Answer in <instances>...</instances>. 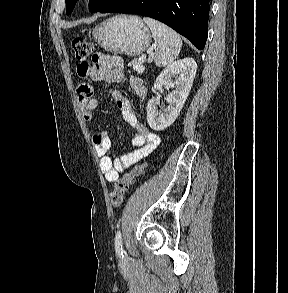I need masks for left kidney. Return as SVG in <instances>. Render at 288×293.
<instances>
[{
	"mask_svg": "<svg viewBox=\"0 0 288 293\" xmlns=\"http://www.w3.org/2000/svg\"><path fill=\"white\" fill-rule=\"evenodd\" d=\"M196 70L197 64L194 59L185 58L170 64L157 77L154 91L162 92L164 86H171L174 90L168 92V106L162 113L157 109L158 99L148 101L147 122L153 130H164L176 120L189 95Z\"/></svg>",
	"mask_w": 288,
	"mask_h": 293,
	"instance_id": "obj_1",
	"label": "left kidney"
}]
</instances>
